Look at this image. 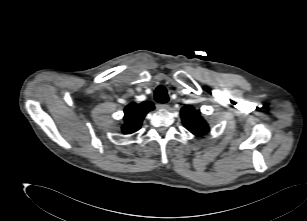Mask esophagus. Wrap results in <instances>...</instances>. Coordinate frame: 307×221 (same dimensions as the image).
I'll list each match as a JSON object with an SVG mask.
<instances>
[{
    "instance_id": "obj_1",
    "label": "esophagus",
    "mask_w": 307,
    "mask_h": 221,
    "mask_svg": "<svg viewBox=\"0 0 307 221\" xmlns=\"http://www.w3.org/2000/svg\"><path fill=\"white\" fill-rule=\"evenodd\" d=\"M156 108L158 110H167V109H169V105L168 104H157Z\"/></svg>"
}]
</instances>
